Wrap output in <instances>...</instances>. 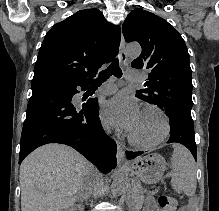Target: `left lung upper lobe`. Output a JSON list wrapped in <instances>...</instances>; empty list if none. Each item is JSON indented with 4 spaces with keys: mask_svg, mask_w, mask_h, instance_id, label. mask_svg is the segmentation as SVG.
I'll list each match as a JSON object with an SVG mask.
<instances>
[{
    "mask_svg": "<svg viewBox=\"0 0 219 211\" xmlns=\"http://www.w3.org/2000/svg\"><path fill=\"white\" fill-rule=\"evenodd\" d=\"M122 30L127 42L142 47L131 66L149 72L147 88L136 97L165 111L170 123H193L190 58L181 35L163 18L139 8L127 16Z\"/></svg>",
    "mask_w": 219,
    "mask_h": 211,
    "instance_id": "5c2ea615",
    "label": "left lung upper lobe"
}]
</instances>
